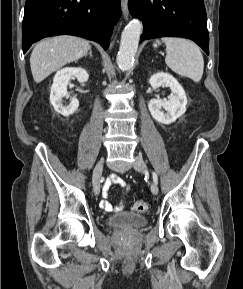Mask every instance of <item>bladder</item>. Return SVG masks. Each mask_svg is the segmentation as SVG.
I'll return each mask as SVG.
<instances>
[{"instance_id":"1","label":"bladder","mask_w":243,"mask_h":289,"mask_svg":"<svg viewBox=\"0 0 243 289\" xmlns=\"http://www.w3.org/2000/svg\"><path fill=\"white\" fill-rule=\"evenodd\" d=\"M107 224L114 229H138L148 224V219L143 216L130 211L116 213L110 216Z\"/></svg>"}]
</instances>
